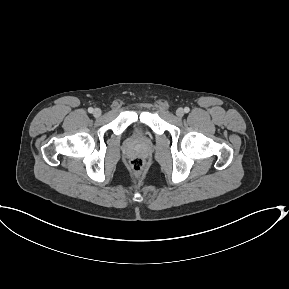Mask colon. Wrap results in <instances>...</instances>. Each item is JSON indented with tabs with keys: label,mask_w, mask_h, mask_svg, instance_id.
Returning a JSON list of instances; mask_svg holds the SVG:
<instances>
[{
	"label": "colon",
	"mask_w": 289,
	"mask_h": 289,
	"mask_svg": "<svg viewBox=\"0 0 289 289\" xmlns=\"http://www.w3.org/2000/svg\"><path fill=\"white\" fill-rule=\"evenodd\" d=\"M130 167L134 173H140L144 168V160L136 157L130 161Z\"/></svg>",
	"instance_id": "obj_1"
}]
</instances>
